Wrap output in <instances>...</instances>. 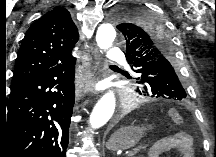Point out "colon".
Returning a JSON list of instances; mask_svg holds the SVG:
<instances>
[{
	"label": "colon",
	"instance_id": "colon-1",
	"mask_svg": "<svg viewBox=\"0 0 216 157\" xmlns=\"http://www.w3.org/2000/svg\"><path fill=\"white\" fill-rule=\"evenodd\" d=\"M168 115L171 121L176 125H179L183 122V117L181 113L175 108L170 109Z\"/></svg>",
	"mask_w": 216,
	"mask_h": 157
}]
</instances>
